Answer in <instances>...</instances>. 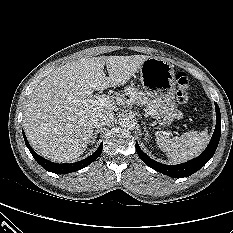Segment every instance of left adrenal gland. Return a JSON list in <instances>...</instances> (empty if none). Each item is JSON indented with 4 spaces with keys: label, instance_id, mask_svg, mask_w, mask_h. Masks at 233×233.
<instances>
[{
    "label": "left adrenal gland",
    "instance_id": "obj_1",
    "mask_svg": "<svg viewBox=\"0 0 233 233\" xmlns=\"http://www.w3.org/2000/svg\"><path fill=\"white\" fill-rule=\"evenodd\" d=\"M144 131H145V139L148 140L149 134H148L146 126H144Z\"/></svg>",
    "mask_w": 233,
    "mask_h": 233
}]
</instances>
